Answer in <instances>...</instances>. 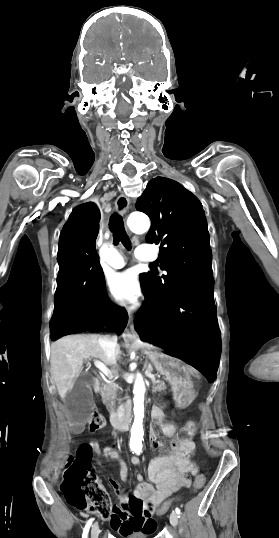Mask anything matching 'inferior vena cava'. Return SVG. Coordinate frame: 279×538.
Segmentation results:
<instances>
[{
  "label": "inferior vena cava",
  "mask_w": 279,
  "mask_h": 538,
  "mask_svg": "<svg viewBox=\"0 0 279 538\" xmlns=\"http://www.w3.org/2000/svg\"><path fill=\"white\" fill-rule=\"evenodd\" d=\"M98 343L100 344L102 349L105 351V355L108 356V360L110 358L114 360L115 359V347L116 345H118L117 335H100V338L98 339ZM122 411H124V409L122 408V405H121L118 409V414L116 415L118 416V421H119V418H122V421H123V418H125L124 413ZM120 422L121 421H119L118 423Z\"/></svg>",
  "instance_id": "obj_1"
}]
</instances>
